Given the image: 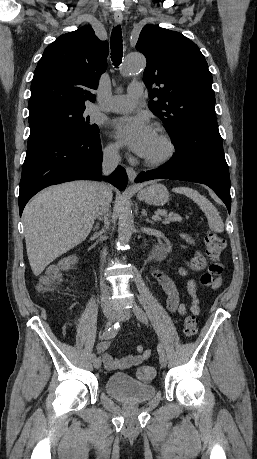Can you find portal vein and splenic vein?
<instances>
[{"mask_svg": "<svg viewBox=\"0 0 257 459\" xmlns=\"http://www.w3.org/2000/svg\"><path fill=\"white\" fill-rule=\"evenodd\" d=\"M152 218H153L154 220H159V219H160V217L158 216V214H155L154 216H152Z\"/></svg>", "mask_w": 257, "mask_h": 459, "instance_id": "portal-vein-and-splenic-vein-1", "label": "portal vein and splenic vein"}]
</instances>
